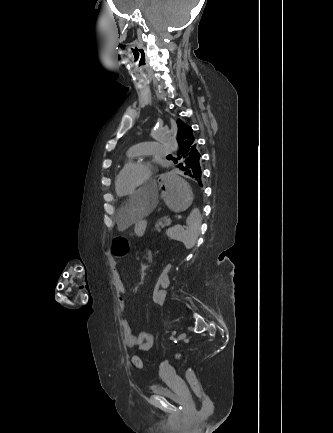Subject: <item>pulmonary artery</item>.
<instances>
[{"label":"pulmonary artery","instance_id":"pulmonary-artery-1","mask_svg":"<svg viewBox=\"0 0 333 433\" xmlns=\"http://www.w3.org/2000/svg\"><path fill=\"white\" fill-rule=\"evenodd\" d=\"M173 150L170 146L165 144H160L157 142H144L139 143L130 148L131 156L140 155H159L165 156L171 153Z\"/></svg>","mask_w":333,"mask_h":433}]
</instances>
